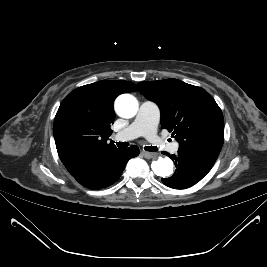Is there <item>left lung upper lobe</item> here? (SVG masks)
Returning a JSON list of instances; mask_svg holds the SVG:
<instances>
[{
  "label": "left lung upper lobe",
  "instance_id": "1",
  "mask_svg": "<svg viewBox=\"0 0 267 267\" xmlns=\"http://www.w3.org/2000/svg\"><path fill=\"white\" fill-rule=\"evenodd\" d=\"M137 86L142 95L158 104L162 128L172 133L180 150L218 157L224 119L208 92L177 79L139 82Z\"/></svg>",
  "mask_w": 267,
  "mask_h": 267
}]
</instances>
